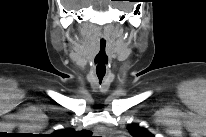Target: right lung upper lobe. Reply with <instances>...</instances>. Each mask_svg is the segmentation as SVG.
<instances>
[{"mask_svg":"<svg viewBox=\"0 0 206 137\" xmlns=\"http://www.w3.org/2000/svg\"><path fill=\"white\" fill-rule=\"evenodd\" d=\"M74 132L75 131L72 129L57 130L54 132V136L69 137V136H71L70 134H73Z\"/></svg>","mask_w":206,"mask_h":137,"instance_id":"obj_1","label":"right lung upper lobe"}]
</instances>
